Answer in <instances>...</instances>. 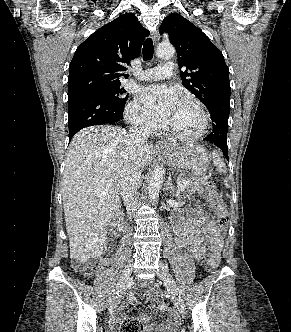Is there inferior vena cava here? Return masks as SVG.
Masks as SVG:
<instances>
[{
  "instance_id": "inferior-vena-cava-1",
  "label": "inferior vena cava",
  "mask_w": 291,
  "mask_h": 332,
  "mask_svg": "<svg viewBox=\"0 0 291 332\" xmlns=\"http://www.w3.org/2000/svg\"><path fill=\"white\" fill-rule=\"evenodd\" d=\"M149 134L150 127L142 120L136 121L130 128L121 179V195L129 216L133 213L138 201L137 190L141 185L142 148Z\"/></svg>"
}]
</instances>
